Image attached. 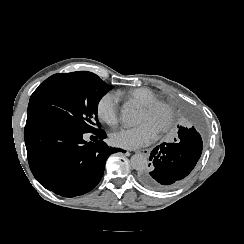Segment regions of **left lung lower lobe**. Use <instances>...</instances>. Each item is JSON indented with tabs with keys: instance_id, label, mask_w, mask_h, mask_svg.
<instances>
[{
	"instance_id": "left-lung-lower-lobe-1",
	"label": "left lung lower lobe",
	"mask_w": 244,
	"mask_h": 244,
	"mask_svg": "<svg viewBox=\"0 0 244 244\" xmlns=\"http://www.w3.org/2000/svg\"><path fill=\"white\" fill-rule=\"evenodd\" d=\"M178 128V138L173 143H162L151 152V168L141 171L138 176L144 186L172 190L195 167L203 148L199 121L190 117L185 127L178 125Z\"/></svg>"
}]
</instances>
